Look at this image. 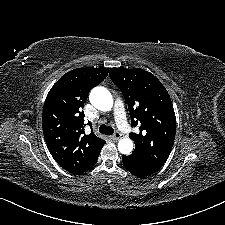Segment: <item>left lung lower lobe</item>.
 <instances>
[{"label":"left lung lower lobe","mask_w":225,"mask_h":225,"mask_svg":"<svg viewBox=\"0 0 225 225\" xmlns=\"http://www.w3.org/2000/svg\"><path fill=\"white\" fill-rule=\"evenodd\" d=\"M122 160L125 168L139 178L147 177L160 169L159 166L145 163L132 155L122 156Z\"/></svg>","instance_id":"1"}]
</instances>
